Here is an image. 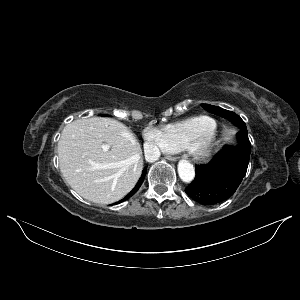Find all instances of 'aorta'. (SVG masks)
<instances>
[{
	"label": "aorta",
	"instance_id": "762f6f07",
	"mask_svg": "<svg viewBox=\"0 0 300 300\" xmlns=\"http://www.w3.org/2000/svg\"><path fill=\"white\" fill-rule=\"evenodd\" d=\"M178 174L182 181L191 182L195 177V168L187 160H180L178 163Z\"/></svg>",
	"mask_w": 300,
	"mask_h": 300
}]
</instances>
